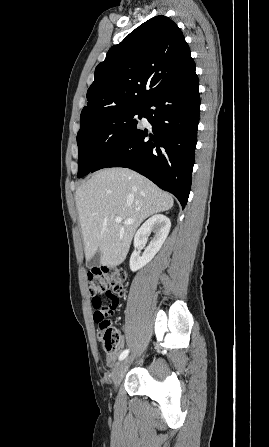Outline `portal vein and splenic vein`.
I'll list each match as a JSON object with an SVG mask.
<instances>
[{"label":"portal vein and splenic vein","mask_w":269,"mask_h":447,"mask_svg":"<svg viewBox=\"0 0 269 447\" xmlns=\"http://www.w3.org/2000/svg\"><path fill=\"white\" fill-rule=\"evenodd\" d=\"M115 222H117V224H121L122 222V218H115ZM134 220H125L124 224H133Z\"/></svg>","instance_id":"obj_1"}]
</instances>
